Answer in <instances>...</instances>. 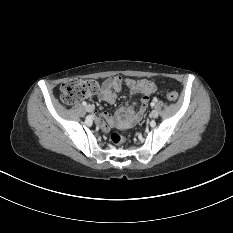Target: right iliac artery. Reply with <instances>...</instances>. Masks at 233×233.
<instances>
[{"mask_svg":"<svg viewBox=\"0 0 233 233\" xmlns=\"http://www.w3.org/2000/svg\"><path fill=\"white\" fill-rule=\"evenodd\" d=\"M82 105H83V106H86V105H87V103L84 101V102H82Z\"/></svg>","mask_w":233,"mask_h":233,"instance_id":"right-iliac-artery-1","label":"right iliac artery"}]
</instances>
